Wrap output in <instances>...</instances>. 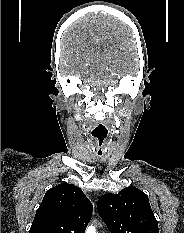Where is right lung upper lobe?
I'll use <instances>...</instances> for the list:
<instances>
[{
	"label": "right lung upper lobe",
	"instance_id": "obj_1",
	"mask_svg": "<svg viewBox=\"0 0 184 233\" xmlns=\"http://www.w3.org/2000/svg\"><path fill=\"white\" fill-rule=\"evenodd\" d=\"M92 212L83 191L63 182L46 192L29 233H85Z\"/></svg>",
	"mask_w": 184,
	"mask_h": 233
}]
</instances>
